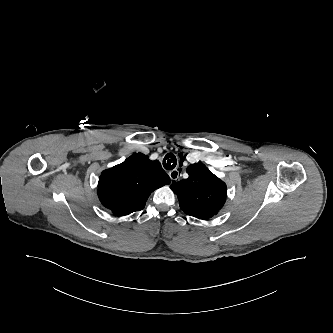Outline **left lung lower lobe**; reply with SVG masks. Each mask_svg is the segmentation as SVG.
<instances>
[{"mask_svg":"<svg viewBox=\"0 0 333 333\" xmlns=\"http://www.w3.org/2000/svg\"><path fill=\"white\" fill-rule=\"evenodd\" d=\"M192 216H195V217H197L199 219H208V218L212 217L213 215H209V214L206 215V214L195 213Z\"/></svg>","mask_w":333,"mask_h":333,"instance_id":"left-lung-lower-lobe-1","label":"left lung lower lobe"}]
</instances>
